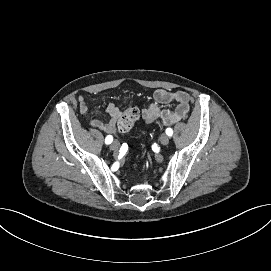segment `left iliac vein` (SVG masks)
Listing matches in <instances>:
<instances>
[{"instance_id":"1","label":"left iliac vein","mask_w":271,"mask_h":271,"mask_svg":"<svg viewBox=\"0 0 271 271\" xmlns=\"http://www.w3.org/2000/svg\"><path fill=\"white\" fill-rule=\"evenodd\" d=\"M160 143L166 146L169 143V137L166 134H162L160 137Z\"/></svg>"}]
</instances>
